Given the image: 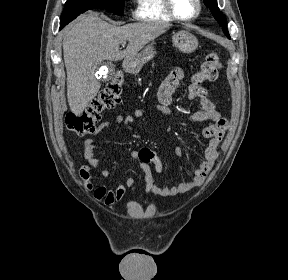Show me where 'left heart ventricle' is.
<instances>
[{"label": "left heart ventricle", "mask_w": 288, "mask_h": 280, "mask_svg": "<svg viewBox=\"0 0 288 280\" xmlns=\"http://www.w3.org/2000/svg\"><path fill=\"white\" fill-rule=\"evenodd\" d=\"M173 6L177 15L182 18L192 17L197 10L196 0H173Z\"/></svg>", "instance_id": "b2bd125f"}]
</instances>
